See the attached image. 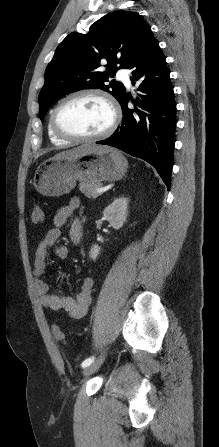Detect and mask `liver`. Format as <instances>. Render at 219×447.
<instances>
[{
	"label": "liver",
	"mask_w": 219,
	"mask_h": 447,
	"mask_svg": "<svg viewBox=\"0 0 219 447\" xmlns=\"http://www.w3.org/2000/svg\"><path fill=\"white\" fill-rule=\"evenodd\" d=\"M93 146H94V145H89V144L81 145V146L76 147V148H73V149H69V150H66V151H62V152L56 154V155L54 156V158H56V159H62V158H72V157H77V156H79V155H81V154H84V153L90 151V150L93 148Z\"/></svg>",
	"instance_id": "1"
}]
</instances>
